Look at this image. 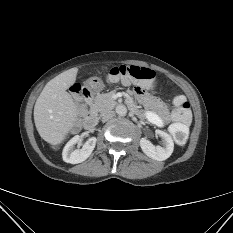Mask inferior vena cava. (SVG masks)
Here are the masks:
<instances>
[{
    "instance_id": "obj_1",
    "label": "inferior vena cava",
    "mask_w": 233,
    "mask_h": 233,
    "mask_svg": "<svg viewBox=\"0 0 233 233\" xmlns=\"http://www.w3.org/2000/svg\"><path fill=\"white\" fill-rule=\"evenodd\" d=\"M114 116H115V112L109 110V111H106V112L102 115L101 120H102V122H106V121H108L109 119H111V118L114 117Z\"/></svg>"
}]
</instances>
